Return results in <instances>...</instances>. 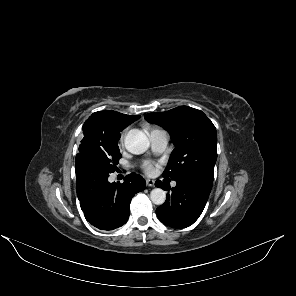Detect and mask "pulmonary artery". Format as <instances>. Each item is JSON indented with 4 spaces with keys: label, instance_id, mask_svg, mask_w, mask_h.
I'll list each match as a JSON object with an SVG mask.
<instances>
[{
    "label": "pulmonary artery",
    "instance_id": "1",
    "mask_svg": "<svg viewBox=\"0 0 296 296\" xmlns=\"http://www.w3.org/2000/svg\"><path fill=\"white\" fill-rule=\"evenodd\" d=\"M150 141L153 151L162 153L168 144V134L164 130H152L150 133ZM172 186H176V182H173Z\"/></svg>",
    "mask_w": 296,
    "mask_h": 296
}]
</instances>
